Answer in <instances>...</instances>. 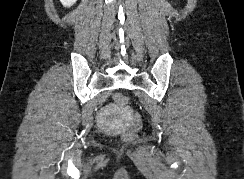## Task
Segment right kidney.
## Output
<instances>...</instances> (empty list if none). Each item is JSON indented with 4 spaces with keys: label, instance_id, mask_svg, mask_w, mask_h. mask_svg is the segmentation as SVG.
Returning a JSON list of instances; mask_svg holds the SVG:
<instances>
[{
    "label": "right kidney",
    "instance_id": "obj_1",
    "mask_svg": "<svg viewBox=\"0 0 244 179\" xmlns=\"http://www.w3.org/2000/svg\"><path fill=\"white\" fill-rule=\"evenodd\" d=\"M62 6H65V8H70V6H73L77 0H60Z\"/></svg>",
    "mask_w": 244,
    "mask_h": 179
}]
</instances>
